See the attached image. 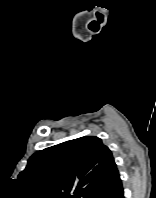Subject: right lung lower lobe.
I'll return each instance as SVG.
<instances>
[{
	"label": "right lung lower lobe",
	"mask_w": 156,
	"mask_h": 198,
	"mask_svg": "<svg viewBox=\"0 0 156 198\" xmlns=\"http://www.w3.org/2000/svg\"><path fill=\"white\" fill-rule=\"evenodd\" d=\"M111 198H124L123 187L116 191Z\"/></svg>",
	"instance_id": "1"
}]
</instances>
